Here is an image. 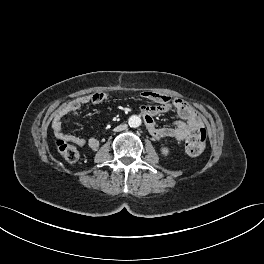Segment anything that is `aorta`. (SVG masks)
Here are the masks:
<instances>
[{
	"label": "aorta",
	"mask_w": 264,
	"mask_h": 264,
	"mask_svg": "<svg viewBox=\"0 0 264 264\" xmlns=\"http://www.w3.org/2000/svg\"><path fill=\"white\" fill-rule=\"evenodd\" d=\"M128 124L132 128L139 127L141 125V118L137 115H132L128 119Z\"/></svg>",
	"instance_id": "762f6f07"
}]
</instances>
